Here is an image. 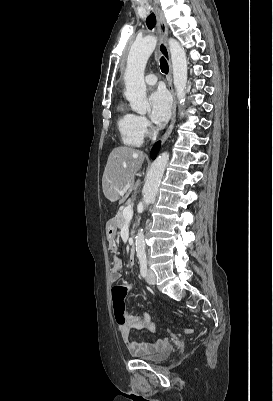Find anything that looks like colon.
<instances>
[{"label":"colon","instance_id":"obj_1","mask_svg":"<svg viewBox=\"0 0 273 401\" xmlns=\"http://www.w3.org/2000/svg\"><path fill=\"white\" fill-rule=\"evenodd\" d=\"M133 288L137 289L138 285L134 284L132 286L131 284H128L126 287L123 285H114L113 286V291H114V296H115L113 299V315H114L115 322L118 326H124L127 322L124 298L126 295V289L128 291H131Z\"/></svg>","mask_w":273,"mask_h":401}]
</instances>
